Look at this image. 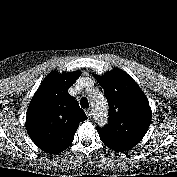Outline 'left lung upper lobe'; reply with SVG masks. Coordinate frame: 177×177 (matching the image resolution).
I'll list each match as a JSON object with an SVG mask.
<instances>
[{
  "label": "left lung upper lobe",
  "mask_w": 177,
  "mask_h": 177,
  "mask_svg": "<svg viewBox=\"0 0 177 177\" xmlns=\"http://www.w3.org/2000/svg\"><path fill=\"white\" fill-rule=\"evenodd\" d=\"M109 104V122L99 128L100 139L133 148L145 136L151 108L139 85L123 70L114 68L102 76L94 74Z\"/></svg>",
  "instance_id": "1"
}]
</instances>
